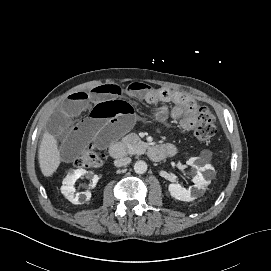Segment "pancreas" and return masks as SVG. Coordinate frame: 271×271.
<instances>
[{
  "label": "pancreas",
  "mask_w": 271,
  "mask_h": 271,
  "mask_svg": "<svg viewBox=\"0 0 271 271\" xmlns=\"http://www.w3.org/2000/svg\"><path fill=\"white\" fill-rule=\"evenodd\" d=\"M122 143L126 146L129 154H142L146 145L135 133L123 137Z\"/></svg>",
  "instance_id": "cf45deb5"
}]
</instances>
